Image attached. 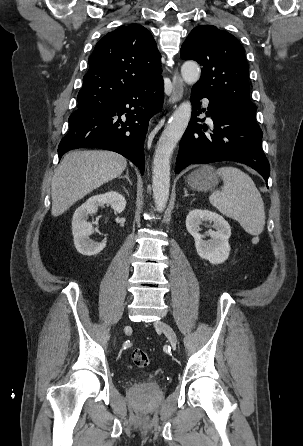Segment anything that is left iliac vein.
<instances>
[{
    "instance_id": "1",
    "label": "left iliac vein",
    "mask_w": 303,
    "mask_h": 446,
    "mask_svg": "<svg viewBox=\"0 0 303 446\" xmlns=\"http://www.w3.org/2000/svg\"><path fill=\"white\" fill-rule=\"evenodd\" d=\"M154 326L160 330L161 332H163L165 334V336L168 338L169 342L172 345H176L177 343V336L174 332V330L172 329V327L170 325H168L167 323L163 322V321H156L154 323Z\"/></svg>"
}]
</instances>
